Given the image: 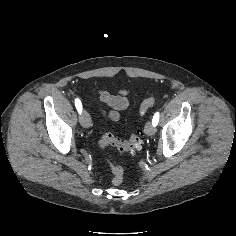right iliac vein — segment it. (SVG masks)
Listing matches in <instances>:
<instances>
[{
  "instance_id": "right-iliac-vein-1",
  "label": "right iliac vein",
  "mask_w": 236,
  "mask_h": 236,
  "mask_svg": "<svg viewBox=\"0 0 236 236\" xmlns=\"http://www.w3.org/2000/svg\"><path fill=\"white\" fill-rule=\"evenodd\" d=\"M80 123L84 128H89L91 126V118L87 111H83L80 117Z\"/></svg>"
}]
</instances>
